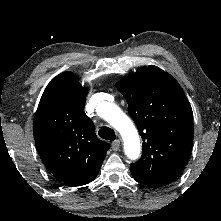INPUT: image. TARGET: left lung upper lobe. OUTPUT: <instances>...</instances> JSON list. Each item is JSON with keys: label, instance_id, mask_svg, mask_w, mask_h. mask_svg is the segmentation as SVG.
<instances>
[{"label": "left lung upper lobe", "instance_id": "1", "mask_svg": "<svg viewBox=\"0 0 221 221\" xmlns=\"http://www.w3.org/2000/svg\"><path fill=\"white\" fill-rule=\"evenodd\" d=\"M142 137V156L130 170L144 185L173 182L189 159L193 144V113L178 82L157 66L140 68L116 83Z\"/></svg>", "mask_w": 221, "mask_h": 221}]
</instances>
